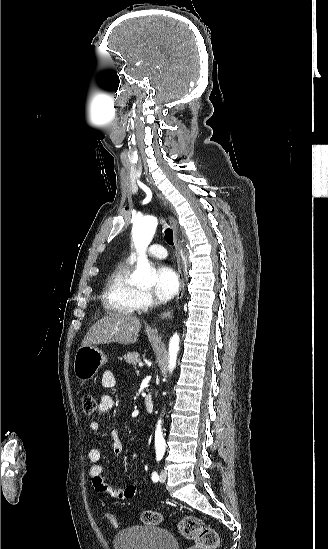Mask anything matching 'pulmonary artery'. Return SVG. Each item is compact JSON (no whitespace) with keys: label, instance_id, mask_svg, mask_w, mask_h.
I'll return each mask as SVG.
<instances>
[{"label":"pulmonary artery","instance_id":"pulmonary-artery-1","mask_svg":"<svg viewBox=\"0 0 328 549\" xmlns=\"http://www.w3.org/2000/svg\"><path fill=\"white\" fill-rule=\"evenodd\" d=\"M153 258H163L169 255V248L167 246H151L148 251ZM129 258H135V253H131Z\"/></svg>","mask_w":328,"mask_h":549}]
</instances>
